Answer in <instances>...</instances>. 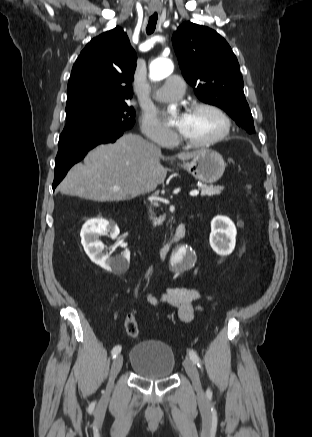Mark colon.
Returning <instances> with one entry per match:
<instances>
[{"label":"colon","instance_id":"colon-1","mask_svg":"<svg viewBox=\"0 0 312 437\" xmlns=\"http://www.w3.org/2000/svg\"><path fill=\"white\" fill-rule=\"evenodd\" d=\"M126 332L133 338L139 336V328L137 325L136 318L133 314L127 315L124 321Z\"/></svg>","mask_w":312,"mask_h":437}]
</instances>
